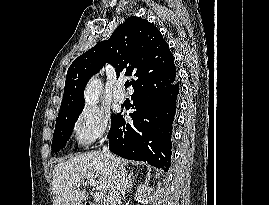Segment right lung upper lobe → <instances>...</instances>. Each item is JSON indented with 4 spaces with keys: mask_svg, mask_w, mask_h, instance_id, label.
Segmentation results:
<instances>
[{
    "mask_svg": "<svg viewBox=\"0 0 269 205\" xmlns=\"http://www.w3.org/2000/svg\"><path fill=\"white\" fill-rule=\"evenodd\" d=\"M105 61L113 65L118 77L135 76L131 82L134 93L176 81L173 55L162 34L147 20L131 16L107 41L98 43L70 65L58 118L83 110L84 88Z\"/></svg>",
    "mask_w": 269,
    "mask_h": 205,
    "instance_id": "right-lung-upper-lobe-1",
    "label": "right lung upper lobe"
}]
</instances>
